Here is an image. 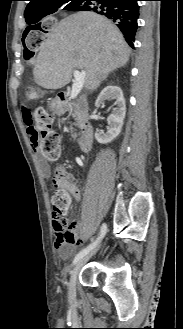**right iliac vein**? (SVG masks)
<instances>
[{
	"label": "right iliac vein",
	"mask_w": 183,
	"mask_h": 329,
	"mask_svg": "<svg viewBox=\"0 0 183 329\" xmlns=\"http://www.w3.org/2000/svg\"><path fill=\"white\" fill-rule=\"evenodd\" d=\"M100 245H98L95 249L91 252L87 253L84 257H82L75 265L74 269L71 272V277L69 281V300L72 302L75 299L76 293V281L77 276L81 268L86 264V262L97 252Z\"/></svg>",
	"instance_id": "right-iliac-vein-1"
}]
</instances>
